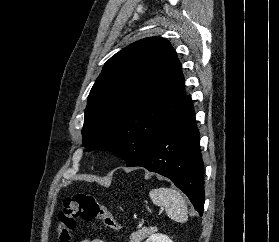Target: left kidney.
<instances>
[{"label":"left kidney","mask_w":279,"mask_h":242,"mask_svg":"<svg viewBox=\"0 0 279 242\" xmlns=\"http://www.w3.org/2000/svg\"><path fill=\"white\" fill-rule=\"evenodd\" d=\"M145 242H173L167 235L163 234H152L148 237Z\"/></svg>","instance_id":"5707ae66"}]
</instances>
